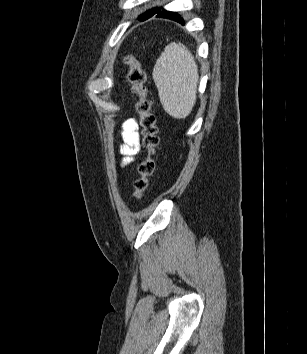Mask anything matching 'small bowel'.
I'll return each mask as SVG.
<instances>
[{
	"label": "small bowel",
	"instance_id": "small-bowel-1",
	"mask_svg": "<svg viewBox=\"0 0 307 354\" xmlns=\"http://www.w3.org/2000/svg\"><path fill=\"white\" fill-rule=\"evenodd\" d=\"M121 137L120 154L122 155V164L130 165L135 161V156L140 151L138 124L135 119L131 118L123 123Z\"/></svg>",
	"mask_w": 307,
	"mask_h": 354
}]
</instances>
